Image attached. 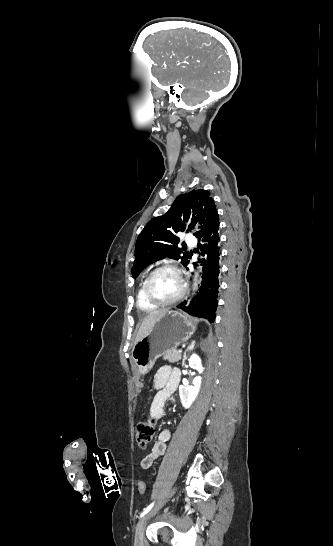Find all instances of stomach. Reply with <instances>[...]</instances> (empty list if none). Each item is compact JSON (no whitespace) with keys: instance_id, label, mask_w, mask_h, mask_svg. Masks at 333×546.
Instances as JSON below:
<instances>
[{"instance_id":"obj_1","label":"stomach","mask_w":333,"mask_h":546,"mask_svg":"<svg viewBox=\"0 0 333 546\" xmlns=\"http://www.w3.org/2000/svg\"><path fill=\"white\" fill-rule=\"evenodd\" d=\"M195 328L194 319L179 311H168L133 347L132 359L138 372L148 373L159 357L191 338Z\"/></svg>"}]
</instances>
